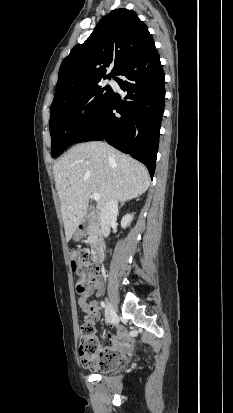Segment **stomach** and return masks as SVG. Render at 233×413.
<instances>
[{
	"label": "stomach",
	"instance_id": "0dacf381",
	"mask_svg": "<svg viewBox=\"0 0 233 413\" xmlns=\"http://www.w3.org/2000/svg\"><path fill=\"white\" fill-rule=\"evenodd\" d=\"M85 235V232L80 231V230H76L74 233V239L76 241L80 240L83 236Z\"/></svg>",
	"mask_w": 233,
	"mask_h": 413
}]
</instances>
